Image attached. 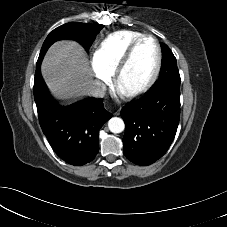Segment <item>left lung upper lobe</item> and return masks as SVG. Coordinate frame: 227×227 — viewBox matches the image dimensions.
Returning <instances> with one entry per match:
<instances>
[{
  "label": "left lung upper lobe",
  "mask_w": 227,
  "mask_h": 227,
  "mask_svg": "<svg viewBox=\"0 0 227 227\" xmlns=\"http://www.w3.org/2000/svg\"><path fill=\"white\" fill-rule=\"evenodd\" d=\"M161 48L163 51L162 67L159 79L155 82L153 87L170 86L180 89L181 79L176 58L166 44L161 43Z\"/></svg>",
  "instance_id": "5c2ea615"
}]
</instances>
